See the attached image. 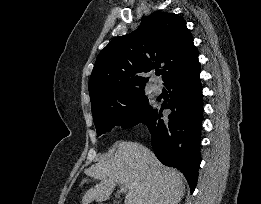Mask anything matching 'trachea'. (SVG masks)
<instances>
[{"mask_svg": "<svg viewBox=\"0 0 261 204\" xmlns=\"http://www.w3.org/2000/svg\"><path fill=\"white\" fill-rule=\"evenodd\" d=\"M161 73L159 72V73H157V75H160Z\"/></svg>", "mask_w": 261, "mask_h": 204, "instance_id": "obj_1", "label": "trachea"}]
</instances>
